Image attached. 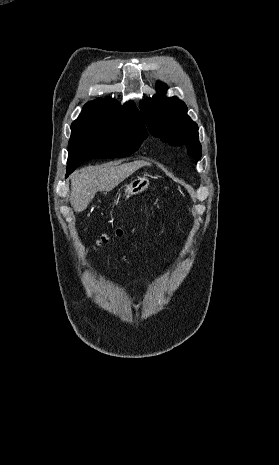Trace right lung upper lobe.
I'll return each instance as SVG.
<instances>
[{"instance_id":"cb5924a9","label":"right lung upper lobe","mask_w":279,"mask_h":465,"mask_svg":"<svg viewBox=\"0 0 279 465\" xmlns=\"http://www.w3.org/2000/svg\"><path fill=\"white\" fill-rule=\"evenodd\" d=\"M101 124L135 125L147 134L140 113L132 101L119 106L110 98H98L85 104L79 117L73 121L71 129L89 128Z\"/></svg>"}]
</instances>
